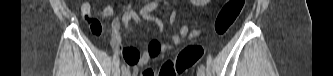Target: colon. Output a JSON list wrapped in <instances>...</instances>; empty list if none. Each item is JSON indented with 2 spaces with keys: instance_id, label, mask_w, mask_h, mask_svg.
<instances>
[{
  "instance_id": "5ec220e1",
  "label": "colon",
  "mask_w": 333,
  "mask_h": 76,
  "mask_svg": "<svg viewBox=\"0 0 333 76\" xmlns=\"http://www.w3.org/2000/svg\"><path fill=\"white\" fill-rule=\"evenodd\" d=\"M245 0H228L219 11L214 29L216 34L225 35L243 12ZM204 54L201 45L191 44L184 47L174 58L164 61L158 71V76H176L183 74L196 65ZM142 76H153L151 68H145Z\"/></svg>"
}]
</instances>
